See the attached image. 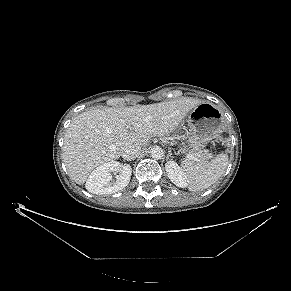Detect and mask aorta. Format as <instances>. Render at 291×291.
I'll list each match as a JSON object with an SVG mask.
<instances>
[{"mask_svg": "<svg viewBox=\"0 0 291 291\" xmlns=\"http://www.w3.org/2000/svg\"><path fill=\"white\" fill-rule=\"evenodd\" d=\"M150 154L151 157L155 160H160L163 158L164 156V151L162 150L161 147L159 146H154L151 150H150Z\"/></svg>", "mask_w": 291, "mask_h": 291, "instance_id": "aorta-1", "label": "aorta"}]
</instances>
